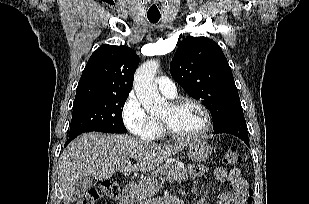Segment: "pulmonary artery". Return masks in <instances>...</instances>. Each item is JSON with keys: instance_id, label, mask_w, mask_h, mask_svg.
Wrapping results in <instances>:
<instances>
[{"instance_id": "e3ab8cb5", "label": "pulmonary artery", "mask_w": 309, "mask_h": 204, "mask_svg": "<svg viewBox=\"0 0 309 204\" xmlns=\"http://www.w3.org/2000/svg\"><path fill=\"white\" fill-rule=\"evenodd\" d=\"M156 85L161 93L172 98L176 95L175 83L167 76H160L156 79Z\"/></svg>"}]
</instances>
